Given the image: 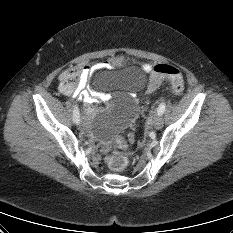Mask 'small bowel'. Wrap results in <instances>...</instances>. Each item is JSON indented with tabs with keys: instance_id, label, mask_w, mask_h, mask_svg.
Wrapping results in <instances>:
<instances>
[{
	"instance_id": "small-bowel-1",
	"label": "small bowel",
	"mask_w": 233,
	"mask_h": 233,
	"mask_svg": "<svg viewBox=\"0 0 233 233\" xmlns=\"http://www.w3.org/2000/svg\"><path fill=\"white\" fill-rule=\"evenodd\" d=\"M118 59H112L110 61L100 62L93 65H86L80 69V79L77 87L69 93H65L67 95H72L76 97L77 99L83 101L85 103V112L86 115L89 116L93 113V107L92 105L100 102V101H106L109 99L108 95L100 94L96 91H94L89 86V80L91 75L101 68H107L112 67L118 64ZM144 71L147 73H151L153 70V67L149 64L143 65Z\"/></svg>"
}]
</instances>
